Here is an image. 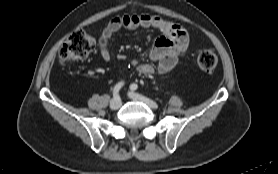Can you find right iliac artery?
<instances>
[{
	"instance_id": "82829eb1",
	"label": "right iliac artery",
	"mask_w": 278,
	"mask_h": 174,
	"mask_svg": "<svg viewBox=\"0 0 278 174\" xmlns=\"http://www.w3.org/2000/svg\"><path fill=\"white\" fill-rule=\"evenodd\" d=\"M122 86H123V83H118L114 87V89H113V97H114V99H116V100L120 99V97H119V90H120V88Z\"/></svg>"
}]
</instances>
